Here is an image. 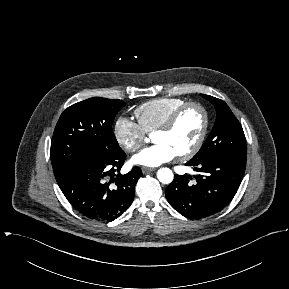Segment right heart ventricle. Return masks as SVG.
<instances>
[{"mask_svg":"<svg viewBox=\"0 0 289 289\" xmlns=\"http://www.w3.org/2000/svg\"><path fill=\"white\" fill-rule=\"evenodd\" d=\"M187 101L182 98H156L138 106L134 114L145 133L154 132L169 116Z\"/></svg>","mask_w":289,"mask_h":289,"instance_id":"right-heart-ventricle-1","label":"right heart ventricle"}]
</instances>
